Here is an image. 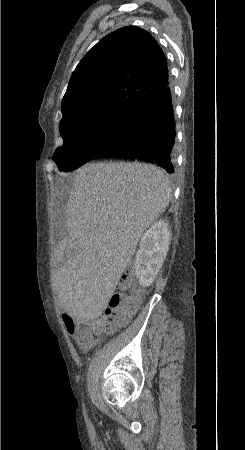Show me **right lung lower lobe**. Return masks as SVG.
Returning a JSON list of instances; mask_svg holds the SVG:
<instances>
[{
	"mask_svg": "<svg viewBox=\"0 0 245 450\" xmlns=\"http://www.w3.org/2000/svg\"><path fill=\"white\" fill-rule=\"evenodd\" d=\"M175 123L171 92L167 85L130 116L124 135L91 160L119 157L143 160L174 173Z\"/></svg>",
	"mask_w": 245,
	"mask_h": 450,
	"instance_id": "98d812e1",
	"label": "right lung lower lobe"
}]
</instances>
